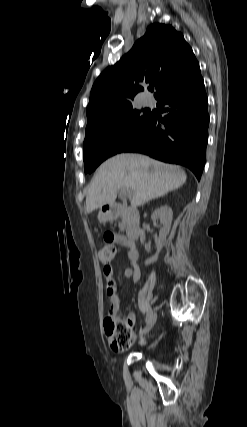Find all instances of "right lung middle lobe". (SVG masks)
<instances>
[{"label": "right lung middle lobe", "instance_id": "right-lung-middle-lobe-1", "mask_svg": "<svg viewBox=\"0 0 247 427\" xmlns=\"http://www.w3.org/2000/svg\"><path fill=\"white\" fill-rule=\"evenodd\" d=\"M133 106L114 119L86 129L83 144L85 173L93 172L108 157L123 152L146 131L153 114Z\"/></svg>", "mask_w": 247, "mask_h": 427}]
</instances>
